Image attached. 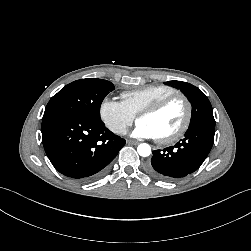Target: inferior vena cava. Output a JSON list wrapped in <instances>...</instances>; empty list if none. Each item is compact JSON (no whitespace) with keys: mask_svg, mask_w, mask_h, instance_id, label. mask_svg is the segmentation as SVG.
<instances>
[{"mask_svg":"<svg viewBox=\"0 0 251 251\" xmlns=\"http://www.w3.org/2000/svg\"><path fill=\"white\" fill-rule=\"evenodd\" d=\"M117 133H118V134H122V135L127 134V129H126V127H120V128L117 130Z\"/></svg>","mask_w":251,"mask_h":251,"instance_id":"1","label":"inferior vena cava"}]
</instances>
